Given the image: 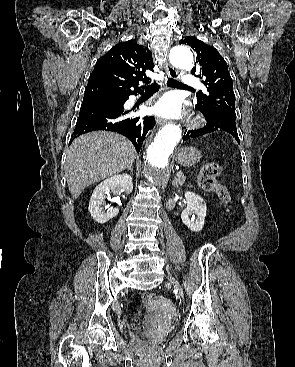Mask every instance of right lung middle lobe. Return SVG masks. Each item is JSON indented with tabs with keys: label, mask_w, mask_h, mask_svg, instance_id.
I'll list each match as a JSON object with an SVG mask.
<instances>
[{
	"label": "right lung middle lobe",
	"mask_w": 295,
	"mask_h": 367,
	"mask_svg": "<svg viewBox=\"0 0 295 367\" xmlns=\"http://www.w3.org/2000/svg\"><path fill=\"white\" fill-rule=\"evenodd\" d=\"M123 96L116 95L110 91L100 89V88H91L86 89L84 93L83 100L87 99H120Z\"/></svg>",
	"instance_id": "1"
}]
</instances>
